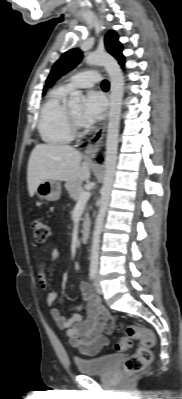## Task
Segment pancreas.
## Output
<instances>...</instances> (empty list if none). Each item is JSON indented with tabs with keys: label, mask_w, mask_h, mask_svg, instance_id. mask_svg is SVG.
<instances>
[{
	"label": "pancreas",
	"mask_w": 182,
	"mask_h": 399,
	"mask_svg": "<svg viewBox=\"0 0 182 399\" xmlns=\"http://www.w3.org/2000/svg\"><path fill=\"white\" fill-rule=\"evenodd\" d=\"M65 188L68 191V194L71 199L74 201H78L80 194L84 191V188L82 187V182L77 180L74 182H67L65 184ZM90 223L89 215L88 213H85L84 219H83V228H87Z\"/></svg>",
	"instance_id": "cf45deb5"
}]
</instances>
